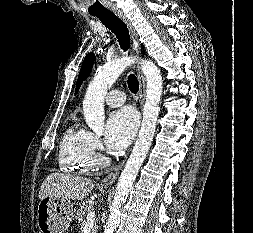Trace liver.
Here are the masks:
<instances>
[{
    "label": "liver",
    "instance_id": "6515ba94",
    "mask_svg": "<svg viewBox=\"0 0 253 233\" xmlns=\"http://www.w3.org/2000/svg\"><path fill=\"white\" fill-rule=\"evenodd\" d=\"M93 188L94 183L88 178L55 172L43 181L38 197L40 200L46 196L82 200Z\"/></svg>",
    "mask_w": 253,
    "mask_h": 233
}]
</instances>
